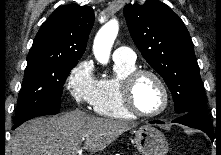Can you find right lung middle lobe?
<instances>
[{
    "instance_id": "right-lung-middle-lobe-1",
    "label": "right lung middle lobe",
    "mask_w": 221,
    "mask_h": 155,
    "mask_svg": "<svg viewBox=\"0 0 221 155\" xmlns=\"http://www.w3.org/2000/svg\"><path fill=\"white\" fill-rule=\"evenodd\" d=\"M27 62L14 124L27 121L42 112L59 110L63 84L77 65V62L54 59H31Z\"/></svg>"
}]
</instances>
